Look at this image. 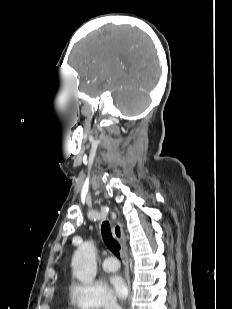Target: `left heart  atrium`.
Returning <instances> with one entry per match:
<instances>
[{
  "label": "left heart atrium",
  "mask_w": 232,
  "mask_h": 309,
  "mask_svg": "<svg viewBox=\"0 0 232 309\" xmlns=\"http://www.w3.org/2000/svg\"><path fill=\"white\" fill-rule=\"evenodd\" d=\"M110 287L113 294L118 299H125L128 295V286L125 279L120 275H112L109 279Z\"/></svg>",
  "instance_id": "left-heart-atrium-1"
}]
</instances>
